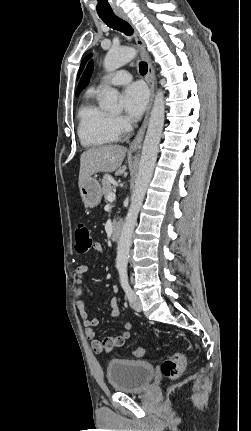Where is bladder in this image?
<instances>
[{"instance_id": "obj_1", "label": "bladder", "mask_w": 251, "mask_h": 431, "mask_svg": "<svg viewBox=\"0 0 251 431\" xmlns=\"http://www.w3.org/2000/svg\"><path fill=\"white\" fill-rule=\"evenodd\" d=\"M106 376L111 388L117 392H140L150 384L154 367L145 361L113 359L107 364Z\"/></svg>"}]
</instances>
